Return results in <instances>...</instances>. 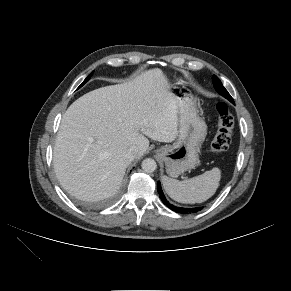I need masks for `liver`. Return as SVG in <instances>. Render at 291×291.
Returning a JSON list of instances; mask_svg holds the SVG:
<instances>
[{
  "instance_id": "1",
  "label": "liver",
  "mask_w": 291,
  "mask_h": 291,
  "mask_svg": "<svg viewBox=\"0 0 291 291\" xmlns=\"http://www.w3.org/2000/svg\"><path fill=\"white\" fill-rule=\"evenodd\" d=\"M178 135V101L162 70L127 83L101 87L74 101L62 117L53 152L56 176L73 196L97 201L115 195L130 162L149 147L148 138L172 142Z\"/></svg>"
}]
</instances>
